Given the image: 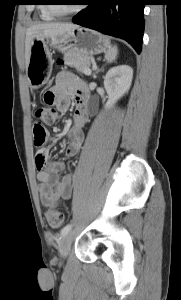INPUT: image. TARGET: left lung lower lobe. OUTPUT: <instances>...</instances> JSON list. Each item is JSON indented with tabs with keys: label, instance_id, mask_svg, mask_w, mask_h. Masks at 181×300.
<instances>
[{
	"label": "left lung lower lobe",
	"instance_id": "obj_1",
	"mask_svg": "<svg viewBox=\"0 0 181 300\" xmlns=\"http://www.w3.org/2000/svg\"><path fill=\"white\" fill-rule=\"evenodd\" d=\"M73 22L127 41L139 54L144 31L145 0H88Z\"/></svg>",
	"mask_w": 181,
	"mask_h": 300
}]
</instances>
